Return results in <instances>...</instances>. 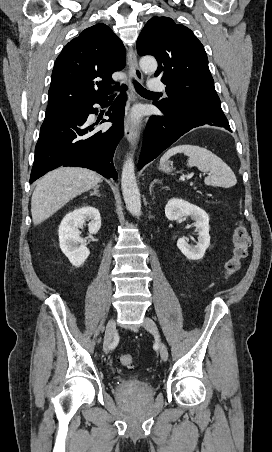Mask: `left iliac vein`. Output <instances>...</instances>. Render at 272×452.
<instances>
[{"instance_id": "left-iliac-vein-1", "label": "left iliac vein", "mask_w": 272, "mask_h": 452, "mask_svg": "<svg viewBox=\"0 0 272 452\" xmlns=\"http://www.w3.org/2000/svg\"><path fill=\"white\" fill-rule=\"evenodd\" d=\"M143 326L146 330H148L155 336L158 346H159V353H160L161 359L163 361H167L168 350H167L165 343L160 338V334H159L156 323L151 318L145 317Z\"/></svg>"}]
</instances>
